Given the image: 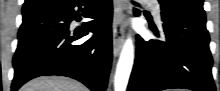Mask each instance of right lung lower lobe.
Instances as JSON below:
<instances>
[{
	"label": "right lung lower lobe",
	"mask_w": 220,
	"mask_h": 91,
	"mask_svg": "<svg viewBox=\"0 0 220 91\" xmlns=\"http://www.w3.org/2000/svg\"><path fill=\"white\" fill-rule=\"evenodd\" d=\"M80 16L94 20L75 29L71 21ZM111 21L112 0H60L23 12L12 91L44 75L71 77L92 91H104L112 62ZM89 32L94 35L82 40Z\"/></svg>",
	"instance_id": "98d812e1"
}]
</instances>
